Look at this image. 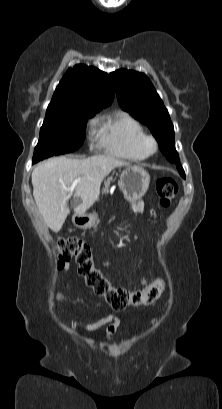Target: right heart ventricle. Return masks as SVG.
<instances>
[{
    "mask_svg": "<svg viewBox=\"0 0 222 409\" xmlns=\"http://www.w3.org/2000/svg\"><path fill=\"white\" fill-rule=\"evenodd\" d=\"M98 133L99 144L108 154L130 161L147 158L140 146L144 128L131 114L116 111L102 117Z\"/></svg>",
    "mask_w": 222,
    "mask_h": 409,
    "instance_id": "obj_1",
    "label": "right heart ventricle"
}]
</instances>
